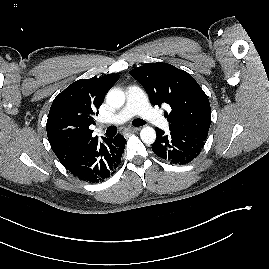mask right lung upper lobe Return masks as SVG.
<instances>
[{
    "mask_svg": "<svg viewBox=\"0 0 269 269\" xmlns=\"http://www.w3.org/2000/svg\"><path fill=\"white\" fill-rule=\"evenodd\" d=\"M118 74L80 79L69 85L53 100L46 124L52 150L62 164L87 145L98 140L92 137L90 125L95 124L106 92L119 79Z\"/></svg>",
    "mask_w": 269,
    "mask_h": 269,
    "instance_id": "obj_1",
    "label": "right lung upper lobe"
}]
</instances>
